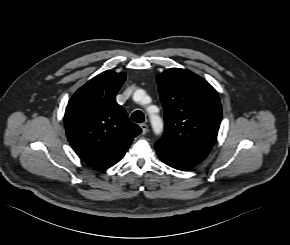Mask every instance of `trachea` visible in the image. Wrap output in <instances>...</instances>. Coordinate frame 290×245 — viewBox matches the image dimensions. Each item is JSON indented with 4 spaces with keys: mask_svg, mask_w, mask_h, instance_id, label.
<instances>
[{
    "mask_svg": "<svg viewBox=\"0 0 290 245\" xmlns=\"http://www.w3.org/2000/svg\"><path fill=\"white\" fill-rule=\"evenodd\" d=\"M131 120L136 122V123L144 122V114H143V112L140 111V110H136L135 112L132 113Z\"/></svg>",
    "mask_w": 290,
    "mask_h": 245,
    "instance_id": "trachea-1",
    "label": "trachea"
}]
</instances>
